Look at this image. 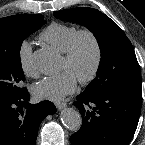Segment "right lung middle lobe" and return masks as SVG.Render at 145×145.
<instances>
[{"mask_svg":"<svg viewBox=\"0 0 145 145\" xmlns=\"http://www.w3.org/2000/svg\"><path fill=\"white\" fill-rule=\"evenodd\" d=\"M45 23L42 15L19 14L0 27V96H18L27 90L22 87L21 45L26 37Z\"/></svg>","mask_w":145,"mask_h":145,"instance_id":"right-lung-middle-lobe-1","label":"right lung middle lobe"}]
</instances>
